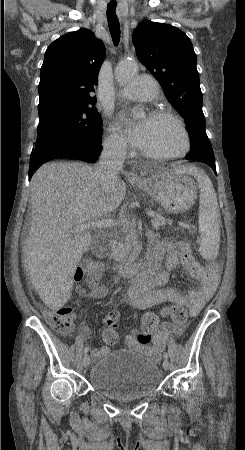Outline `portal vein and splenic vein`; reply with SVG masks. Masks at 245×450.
I'll return each instance as SVG.
<instances>
[{
    "label": "portal vein and splenic vein",
    "instance_id": "1",
    "mask_svg": "<svg viewBox=\"0 0 245 450\" xmlns=\"http://www.w3.org/2000/svg\"><path fill=\"white\" fill-rule=\"evenodd\" d=\"M147 215L149 217H154L155 213L153 211H148ZM117 224H119L120 226H123V227L128 226L127 221H119L117 223V222L113 221L112 219H102V220H97L95 222L78 225L73 228L72 233L80 234L81 232L91 229V228H105V227H109V226H116Z\"/></svg>",
    "mask_w": 245,
    "mask_h": 450
}]
</instances>
